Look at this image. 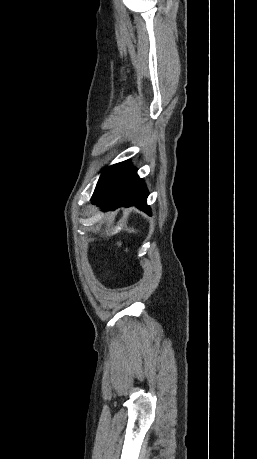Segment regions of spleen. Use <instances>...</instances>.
<instances>
[{
  "label": "spleen",
  "instance_id": "obj_1",
  "mask_svg": "<svg viewBox=\"0 0 257 459\" xmlns=\"http://www.w3.org/2000/svg\"><path fill=\"white\" fill-rule=\"evenodd\" d=\"M126 231H128L129 233H134V232H136V230H134L133 228H127Z\"/></svg>",
  "mask_w": 257,
  "mask_h": 459
}]
</instances>
